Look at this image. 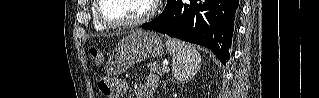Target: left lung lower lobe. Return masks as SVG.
I'll use <instances>...</instances> for the list:
<instances>
[{
    "instance_id": "0a47b994",
    "label": "left lung lower lobe",
    "mask_w": 319,
    "mask_h": 98,
    "mask_svg": "<svg viewBox=\"0 0 319 98\" xmlns=\"http://www.w3.org/2000/svg\"><path fill=\"white\" fill-rule=\"evenodd\" d=\"M239 0H167L162 14L142 26L209 48L226 65Z\"/></svg>"
}]
</instances>
